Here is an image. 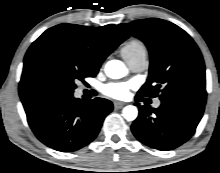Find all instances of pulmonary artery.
<instances>
[{"instance_id":"obj_1","label":"pulmonary artery","mask_w":220,"mask_h":173,"mask_svg":"<svg viewBox=\"0 0 220 173\" xmlns=\"http://www.w3.org/2000/svg\"><path fill=\"white\" fill-rule=\"evenodd\" d=\"M126 62L132 71L141 72L146 68V54H138L136 56L131 57ZM159 106L160 101L156 100L154 103V107Z\"/></svg>"}]
</instances>
